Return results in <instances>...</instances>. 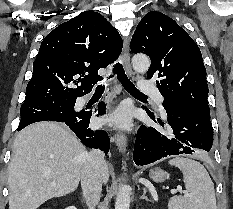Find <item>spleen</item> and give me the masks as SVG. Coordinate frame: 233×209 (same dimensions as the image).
<instances>
[{
  "mask_svg": "<svg viewBox=\"0 0 233 209\" xmlns=\"http://www.w3.org/2000/svg\"><path fill=\"white\" fill-rule=\"evenodd\" d=\"M183 173L187 196H173L168 202V209H216L213 182L202 164L182 157L169 161Z\"/></svg>",
  "mask_w": 233,
  "mask_h": 209,
  "instance_id": "1",
  "label": "spleen"
}]
</instances>
